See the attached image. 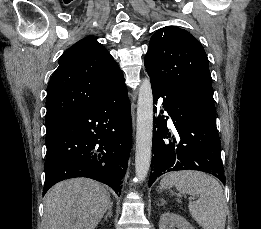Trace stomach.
Here are the masks:
<instances>
[{
    "mask_svg": "<svg viewBox=\"0 0 261 229\" xmlns=\"http://www.w3.org/2000/svg\"><path fill=\"white\" fill-rule=\"evenodd\" d=\"M160 191H166V189H171L170 185H161V187H159Z\"/></svg>",
    "mask_w": 261,
    "mask_h": 229,
    "instance_id": "obj_1",
    "label": "stomach"
}]
</instances>
